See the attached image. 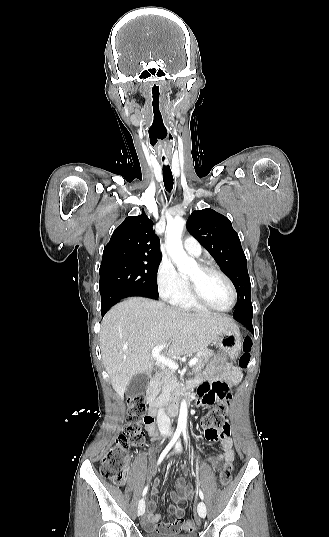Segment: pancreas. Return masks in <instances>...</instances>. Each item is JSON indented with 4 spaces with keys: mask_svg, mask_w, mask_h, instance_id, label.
Masks as SVG:
<instances>
[{
    "mask_svg": "<svg viewBox=\"0 0 329 537\" xmlns=\"http://www.w3.org/2000/svg\"><path fill=\"white\" fill-rule=\"evenodd\" d=\"M213 355V351L208 349L202 350L200 353H198L196 357L197 363L193 367V372L201 370ZM178 388L179 385L174 372L167 371L162 376V379L158 380L155 393L158 394L161 399H164L168 402L178 395Z\"/></svg>",
    "mask_w": 329,
    "mask_h": 537,
    "instance_id": "obj_1",
    "label": "pancreas"
}]
</instances>
